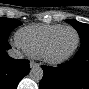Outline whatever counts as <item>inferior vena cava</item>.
Masks as SVG:
<instances>
[{
    "label": "inferior vena cava",
    "mask_w": 89,
    "mask_h": 89,
    "mask_svg": "<svg viewBox=\"0 0 89 89\" xmlns=\"http://www.w3.org/2000/svg\"><path fill=\"white\" fill-rule=\"evenodd\" d=\"M8 55L11 57V58H14V59H22L24 58V55L17 49H10L8 50Z\"/></svg>",
    "instance_id": "1"
}]
</instances>
